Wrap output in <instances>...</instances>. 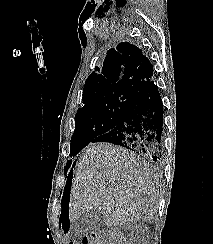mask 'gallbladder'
Listing matches in <instances>:
<instances>
[{
    "mask_svg": "<svg viewBox=\"0 0 213 244\" xmlns=\"http://www.w3.org/2000/svg\"><path fill=\"white\" fill-rule=\"evenodd\" d=\"M104 227L105 222L99 211L86 212L71 225L72 232L79 237L101 231Z\"/></svg>",
    "mask_w": 213,
    "mask_h": 244,
    "instance_id": "1",
    "label": "gallbladder"
}]
</instances>
